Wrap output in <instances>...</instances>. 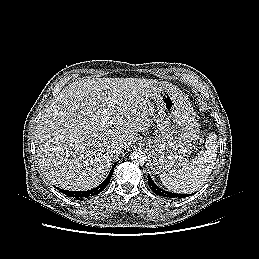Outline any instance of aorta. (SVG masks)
I'll return each instance as SVG.
<instances>
[{"instance_id":"aorta-1","label":"aorta","mask_w":259,"mask_h":259,"mask_svg":"<svg viewBox=\"0 0 259 259\" xmlns=\"http://www.w3.org/2000/svg\"><path fill=\"white\" fill-rule=\"evenodd\" d=\"M130 159L137 165H143L146 162V154L140 150L136 149L130 154Z\"/></svg>"}]
</instances>
